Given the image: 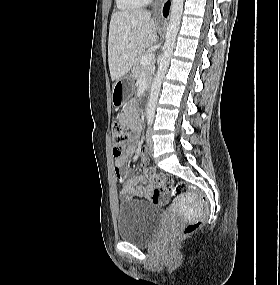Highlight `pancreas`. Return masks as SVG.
I'll return each mask as SVG.
<instances>
[{
    "label": "pancreas",
    "mask_w": 280,
    "mask_h": 285,
    "mask_svg": "<svg viewBox=\"0 0 280 285\" xmlns=\"http://www.w3.org/2000/svg\"><path fill=\"white\" fill-rule=\"evenodd\" d=\"M145 55H146V53H142L137 57V59L134 62L133 68H132V74H133V77L135 79H138L140 77L141 73L145 72L147 83H149L151 81V78H152V75L154 72V65L149 64V65L144 66L141 64L140 60Z\"/></svg>",
    "instance_id": "1"
}]
</instances>
